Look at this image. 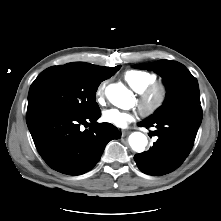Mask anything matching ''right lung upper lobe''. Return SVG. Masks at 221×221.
Listing matches in <instances>:
<instances>
[{
	"label": "right lung upper lobe",
	"mask_w": 221,
	"mask_h": 221,
	"mask_svg": "<svg viewBox=\"0 0 221 221\" xmlns=\"http://www.w3.org/2000/svg\"><path fill=\"white\" fill-rule=\"evenodd\" d=\"M62 66L70 68L78 73H81L89 78H93L96 80H106L114 75V73H116L115 71L117 70V66L109 68L85 62H72Z\"/></svg>",
	"instance_id": "obj_1"
}]
</instances>
